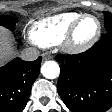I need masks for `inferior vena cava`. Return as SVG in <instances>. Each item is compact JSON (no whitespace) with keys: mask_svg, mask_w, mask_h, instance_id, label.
I'll return each mask as SVG.
<instances>
[{"mask_svg":"<svg viewBox=\"0 0 112 112\" xmlns=\"http://www.w3.org/2000/svg\"><path fill=\"white\" fill-rule=\"evenodd\" d=\"M40 56V53L35 48H26L21 52L20 57L25 61H34Z\"/></svg>","mask_w":112,"mask_h":112,"instance_id":"obj_1","label":"inferior vena cava"}]
</instances>
